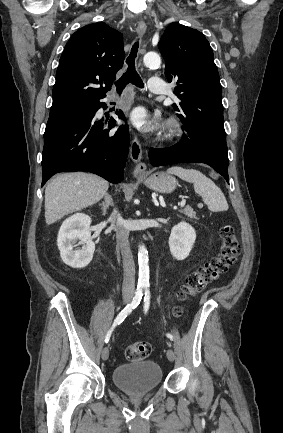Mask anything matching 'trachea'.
Returning a JSON list of instances; mask_svg holds the SVG:
<instances>
[{
	"label": "trachea",
	"instance_id": "obj_1",
	"mask_svg": "<svg viewBox=\"0 0 283 433\" xmlns=\"http://www.w3.org/2000/svg\"><path fill=\"white\" fill-rule=\"evenodd\" d=\"M138 48L139 42L137 41L133 45L129 57L126 59V63L128 66L126 72L123 73V75L117 82H115L116 90L118 93H121L126 87V85H128V83H133V85H136V87L139 88L144 87V83L135 68V59L137 57Z\"/></svg>",
	"mask_w": 283,
	"mask_h": 433
}]
</instances>
